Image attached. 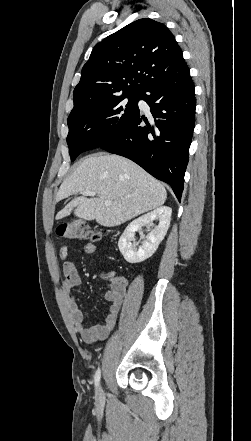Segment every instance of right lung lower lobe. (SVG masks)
<instances>
[{
	"mask_svg": "<svg viewBox=\"0 0 251 441\" xmlns=\"http://www.w3.org/2000/svg\"><path fill=\"white\" fill-rule=\"evenodd\" d=\"M188 66L153 82L141 94L149 121L138 111L126 126L99 148L129 158L168 183L181 199L195 125V94ZM145 122L146 125H142Z\"/></svg>",
	"mask_w": 251,
	"mask_h": 441,
	"instance_id": "1",
	"label": "right lung lower lobe"
}]
</instances>
